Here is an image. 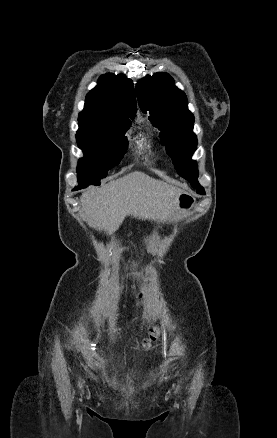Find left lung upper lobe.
Here are the masks:
<instances>
[{"mask_svg":"<svg viewBox=\"0 0 277 438\" xmlns=\"http://www.w3.org/2000/svg\"><path fill=\"white\" fill-rule=\"evenodd\" d=\"M136 93L141 110L149 112V120L161 131V143L166 146L175 169L197 193L205 194L197 180V164L191 160L197 147V137L193 133L194 115L188 110L185 93L174 85L168 73H156L140 79Z\"/></svg>","mask_w":277,"mask_h":438,"instance_id":"5c2ea615","label":"left lung upper lobe"}]
</instances>
